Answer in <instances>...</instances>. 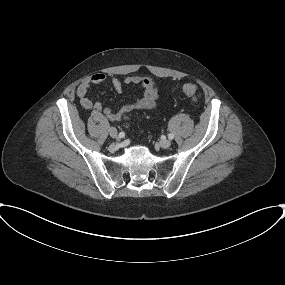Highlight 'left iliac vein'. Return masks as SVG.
<instances>
[{
    "mask_svg": "<svg viewBox=\"0 0 285 285\" xmlns=\"http://www.w3.org/2000/svg\"><path fill=\"white\" fill-rule=\"evenodd\" d=\"M159 145H160L161 148L167 149V148L170 147L171 141H170V140H167V139H164V140H161V141H160Z\"/></svg>",
    "mask_w": 285,
    "mask_h": 285,
    "instance_id": "4c4485c4",
    "label": "left iliac vein"
}]
</instances>
